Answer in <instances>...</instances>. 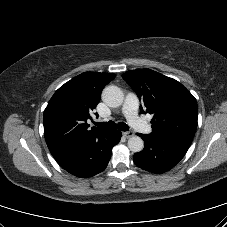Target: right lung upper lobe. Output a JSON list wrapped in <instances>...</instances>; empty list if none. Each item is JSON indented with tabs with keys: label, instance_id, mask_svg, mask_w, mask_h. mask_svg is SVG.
<instances>
[{
	"label": "right lung upper lobe",
	"instance_id": "cb5924a9",
	"mask_svg": "<svg viewBox=\"0 0 227 227\" xmlns=\"http://www.w3.org/2000/svg\"><path fill=\"white\" fill-rule=\"evenodd\" d=\"M112 73L85 72L61 86L44 111V136L49 149L104 131L87 124Z\"/></svg>",
	"mask_w": 227,
	"mask_h": 227
}]
</instances>
